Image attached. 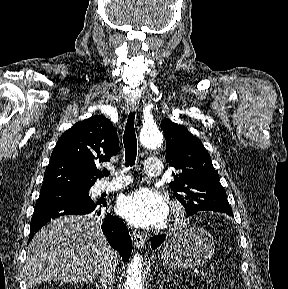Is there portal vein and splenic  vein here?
<instances>
[{"instance_id":"obj_1","label":"portal vein and splenic vein","mask_w":288,"mask_h":289,"mask_svg":"<svg viewBox=\"0 0 288 289\" xmlns=\"http://www.w3.org/2000/svg\"><path fill=\"white\" fill-rule=\"evenodd\" d=\"M199 274H200V275H204V271H203V270H200V271H199Z\"/></svg>"}]
</instances>
